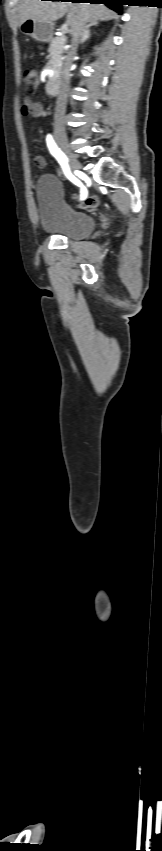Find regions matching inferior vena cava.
I'll return each instance as SVG.
<instances>
[{
  "instance_id": "602c4592",
  "label": "inferior vena cava",
  "mask_w": 162,
  "mask_h": 851,
  "mask_svg": "<svg viewBox=\"0 0 162 851\" xmlns=\"http://www.w3.org/2000/svg\"><path fill=\"white\" fill-rule=\"evenodd\" d=\"M86 23H87V21H86L85 16L81 15L77 24L75 25V27L71 31L72 44H71L70 56H69L65 66H64V70H63V73H62V80H61V83H60V89H59V92H58V95H57L56 107H55V113H54V129H55V131H60V132H63V133L65 132L64 116H65V111H66L67 92H68L69 81H70V77H71V74H70L71 65H72L71 60L73 59V57L76 54L78 44L82 43V38H83V35H84Z\"/></svg>"
}]
</instances>
